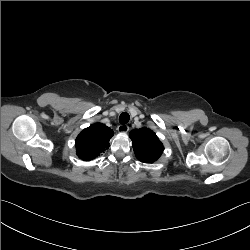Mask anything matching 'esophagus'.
Masks as SVG:
<instances>
[{"instance_id":"esophagus-1","label":"esophagus","mask_w":250,"mask_h":250,"mask_svg":"<svg viewBox=\"0 0 250 250\" xmlns=\"http://www.w3.org/2000/svg\"><path fill=\"white\" fill-rule=\"evenodd\" d=\"M119 133H126L129 130V126L126 124H121L117 127Z\"/></svg>"}]
</instances>
